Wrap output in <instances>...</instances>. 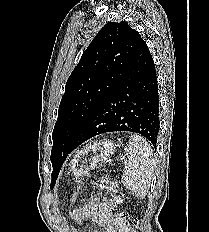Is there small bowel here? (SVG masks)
I'll use <instances>...</instances> for the list:
<instances>
[{"instance_id": "small-bowel-1", "label": "small bowel", "mask_w": 209, "mask_h": 232, "mask_svg": "<svg viewBox=\"0 0 209 232\" xmlns=\"http://www.w3.org/2000/svg\"><path fill=\"white\" fill-rule=\"evenodd\" d=\"M71 217L77 222L90 220L95 223L97 227L90 232H129L122 221L112 217L110 202L100 201L98 198H93L82 208L74 210Z\"/></svg>"}]
</instances>
